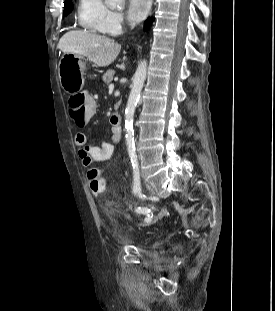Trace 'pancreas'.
Returning a JSON list of instances; mask_svg holds the SVG:
<instances>
[{
	"instance_id": "cf45deb5",
	"label": "pancreas",
	"mask_w": 275,
	"mask_h": 311,
	"mask_svg": "<svg viewBox=\"0 0 275 311\" xmlns=\"http://www.w3.org/2000/svg\"><path fill=\"white\" fill-rule=\"evenodd\" d=\"M115 71L113 69L108 70L104 75H103V81L106 84H110L113 80Z\"/></svg>"
}]
</instances>
